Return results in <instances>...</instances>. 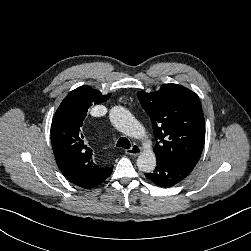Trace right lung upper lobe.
<instances>
[{
  "mask_svg": "<svg viewBox=\"0 0 251 251\" xmlns=\"http://www.w3.org/2000/svg\"><path fill=\"white\" fill-rule=\"evenodd\" d=\"M111 93L101 92L89 86L71 91L57 109L51 126L52 148L58 167L75 185L91 188L111 170L93 161L92 149L82 134V124L90 106L105 102Z\"/></svg>",
  "mask_w": 251,
  "mask_h": 251,
  "instance_id": "cb5924a9",
  "label": "right lung upper lobe"
}]
</instances>
